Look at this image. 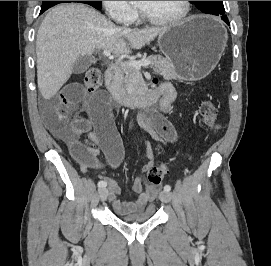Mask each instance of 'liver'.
I'll return each instance as SVG.
<instances>
[{"label":"liver","instance_id":"obj_1","mask_svg":"<svg viewBox=\"0 0 271 266\" xmlns=\"http://www.w3.org/2000/svg\"><path fill=\"white\" fill-rule=\"evenodd\" d=\"M166 28L123 29L94 8L61 4L41 23L36 39L37 82L44 99L52 98L70 78L72 62L95 50L129 54L154 40Z\"/></svg>","mask_w":271,"mask_h":266}]
</instances>
